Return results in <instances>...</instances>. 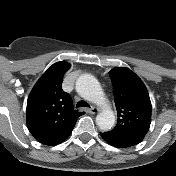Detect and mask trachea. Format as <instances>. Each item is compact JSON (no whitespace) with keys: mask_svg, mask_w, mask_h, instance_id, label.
<instances>
[{"mask_svg":"<svg viewBox=\"0 0 176 176\" xmlns=\"http://www.w3.org/2000/svg\"><path fill=\"white\" fill-rule=\"evenodd\" d=\"M78 107H90V105L85 101H79L76 105V108Z\"/></svg>","mask_w":176,"mask_h":176,"instance_id":"3493384b","label":"trachea"}]
</instances>
